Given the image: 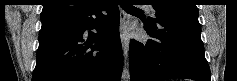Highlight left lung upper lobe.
I'll return each instance as SVG.
<instances>
[{"mask_svg": "<svg viewBox=\"0 0 237 81\" xmlns=\"http://www.w3.org/2000/svg\"><path fill=\"white\" fill-rule=\"evenodd\" d=\"M152 6L156 10V19L149 18V24L168 18L198 21V8L194 0H152Z\"/></svg>", "mask_w": 237, "mask_h": 81, "instance_id": "obj_1", "label": "left lung upper lobe"}]
</instances>
